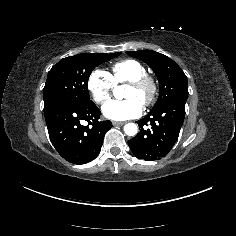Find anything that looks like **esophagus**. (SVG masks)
I'll return each instance as SVG.
<instances>
[{
  "label": "esophagus",
  "mask_w": 236,
  "mask_h": 236,
  "mask_svg": "<svg viewBox=\"0 0 236 236\" xmlns=\"http://www.w3.org/2000/svg\"><path fill=\"white\" fill-rule=\"evenodd\" d=\"M112 124H113L114 126H118V125H123V124H125V122H116V121H114V122H112Z\"/></svg>",
  "instance_id": "obj_1"
}]
</instances>
